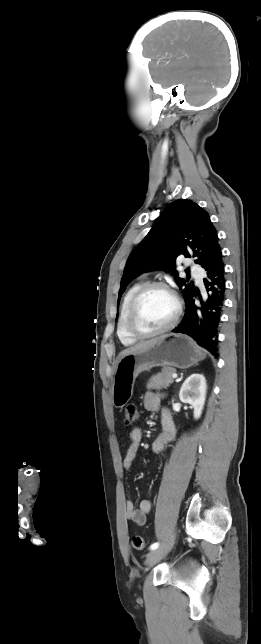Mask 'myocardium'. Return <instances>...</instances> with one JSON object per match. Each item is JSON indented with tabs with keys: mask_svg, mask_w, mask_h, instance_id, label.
<instances>
[{
	"mask_svg": "<svg viewBox=\"0 0 261 644\" xmlns=\"http://www.w3.org/2000/svg\"><path fill=\"white\" fill-rule=\"evenodd\" d=\"M154 288H161V289L167 291L173 297V299L175 301V313H174V316H173L172 320L166 326H164V327H162V328H160L158 330L145 333V332L139 331L136 328L135 318H136L138 305H139L141 299L143 298V296L148 291H150V290H152ZM181 314H182V302H181L179 296L177 295V293L168 284H166L165 282H162V281H150V282L144 283L138 289V291L135 293V295L133 296V298H132V300L130 302L128 312H127V316H126V322H125L126 330H127L128 334L132 338H134L136 340H145V339L153 338V337L162 335L164 333H167L170 330H172L173 328H175V326L179 322Z\"/></svg>",
	"mask_w": 261,
	"mask_h": 644,
	"instance_id": "1",
	"label": "myocardium"
}]
</instances>
